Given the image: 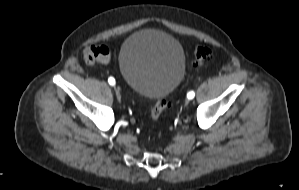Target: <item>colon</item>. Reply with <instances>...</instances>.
I'll list each match as a JSON object with an SVG mask.
<instances>
[{"label":"colon","mask_w":299,"mask_h":190,"mask_svg":"<svg viewBox=\"0 0 299 190\" xmlns=\"http://www.w3.org/2000/svg\"><path fill=\"white\" fill-rule=\"evenodd\" d=\"M214 58V52L211 48L206 46H198L194 53V65L199 66L204 63L210 62ZM168 108V101L166 99L157 100L150 111V119L152 122H156L162 115V113Z\"/></svg>","instance_id":"5ec220e1"}]
</instances>
